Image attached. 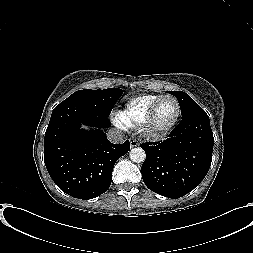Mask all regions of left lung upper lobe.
<instances>
[{"label":"left lung upper lobe","mask_w":253,"mask_h":253,"mask_svg":"<svg viewBox=\"0 0 253 253\" xmlns=\"http://www.w3.org/2000/svg\"><path fill=\"white\" fill-rule=\"evenodd\" d=\"M168 92L178 99L181 109V115L183 117L198 113H205V111L185 92L182 91H168Z\"/></svg>","instance_id":"5c2ea615"}]
</instances>
